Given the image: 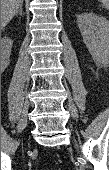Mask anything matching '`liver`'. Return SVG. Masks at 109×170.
<instances>
[{
  "label": "liver",
  "mask_w": 109,
  "mask_h": 170,
  "mask_svg": "<svg viewBox=\"0 0 109 170\" xmlns=\"http://www.w3.org/2000/svg\"><path fill=\"white\" fill-rule=\"evenodd\" d=\"M23 0H1V27L4 28L19 11Z\"/></svg>",
  "instance_id": "1"
}]
</instances>
